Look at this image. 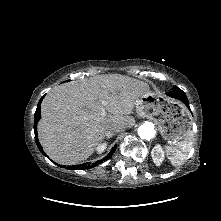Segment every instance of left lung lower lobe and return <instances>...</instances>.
<instances>
[{
  "instance_id": "1",
  "label": "left lung lower lobe",
  "mask_w": 221,
  "mask_h": 221,
  "mask_svg": "<svg viewBox=\"0 0 221 221\" xmlns=\"http://www.w3.org/2000/svg\"><path fill=\"white\" fill-rule=\"evenodd\" d=\"M170 97H173L175 99L181 100L189 109V101L187 99V96L185 92H183L181 89H179L177 86L172 88V91L167 94Z\"/></svg>"
}]
</instances>
